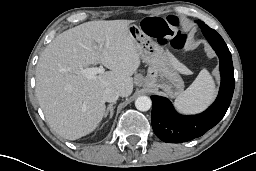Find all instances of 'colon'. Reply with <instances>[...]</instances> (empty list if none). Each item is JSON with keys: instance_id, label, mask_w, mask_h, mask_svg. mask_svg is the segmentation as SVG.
<instances>
[{"instance_id": "5ec220e1", "label": "colon", "mask_w": 256, "mask_h": 171, "mask_svg": "<svg viewBox=\"0 0 256 171\" xmlns=\"http://www.w3.org/2000/svg\"><path fill=\"white\" fill-rule=\"evenodd\" d=\"M146 32L162 45H171L175 49H181L185 36L178 30V20L174 16L167 18L151 17L145 20Z\"/></svg>"}]
</instances>
